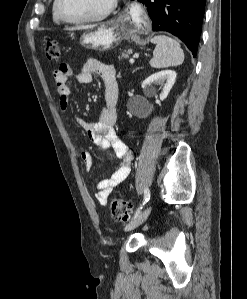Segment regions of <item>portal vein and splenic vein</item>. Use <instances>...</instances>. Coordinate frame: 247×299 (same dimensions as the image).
Listing matches in <instances>:
<instances>
[{
	"label": "portal vein and splenic vein",
	"instance_id": "18ae733b",
	"mask_svg": "<svg viewBox=\"0 0 247 299\" xmlns=\"http://www.w3.org/2000/svg\"><path fill=\"white\" fill-rule=\"evenodd\" d=\"M129 62H130L131 64H133L135 61H134L133 58H131V59L129 60Z\"/></svg>",
	"mask_w": 247,
	"mask_h": 299
}]
</instances>
